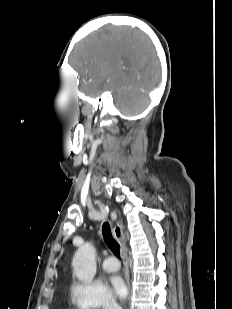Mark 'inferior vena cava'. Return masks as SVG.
<instances>
[{
    "label": "inferior vena cava",
    "instance_id": "1",
    "mask_svg": "<svg viewBox=\"0 0 232 309\" xmlns=\"http://www.w3.org/2000/svg\"><path fill=\"white\" fill-rule=\"evenodd\" d=\"M104 309H122L121 307H119L117 305V303L114 300H109L106 304H105V308Z\"/></svg>",
    "mask_w": 232,
    "mask_h": 309
}]
</instances>
